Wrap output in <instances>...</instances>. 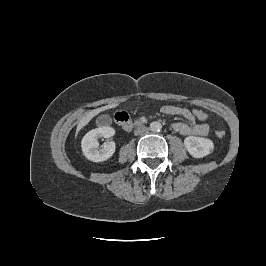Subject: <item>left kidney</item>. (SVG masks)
Instances as JSON below:
<instances>
[{"label":"left kidney","instance_id":"obj_1","mask_svg":"<svg viewBox=\"0 0 266 266\" xmlns=\"http://www.w3.org/2000/svg\"><path fill=\"white\" fill-rule=\"evenodd\" d=\"M187 151L194 158H202L211 153L214 144L210 139L202 137L189 136L184 140Z\"/></svg>","mask_w":266,"mask_h":266}]
</instances>
